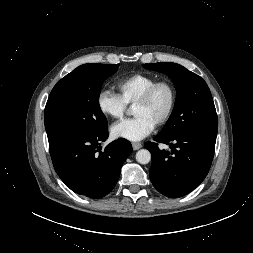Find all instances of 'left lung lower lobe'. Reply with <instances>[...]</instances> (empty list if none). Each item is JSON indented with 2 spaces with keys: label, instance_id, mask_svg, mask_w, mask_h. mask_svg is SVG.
<instances>
[{
  "label": "left lung lower lobe",
  "instance_id": "1",
  "mask_svg": "<svg viewBox=\"0 0 253 253\" xmlns=\"http://www.w3.org/2000/svg\"><path fill=\"white\" fill-rule=\"evenodd\" d=\"M144 146L151 152L149 177L163 195L178 198L198 187L209 172L216 136L190 132L172 138L157 135ZM157 142L169 144L171 152L160 150Z\"/></svg>",
  "mask_w": 253,
  "mask_h": 253
}]
</instances>
